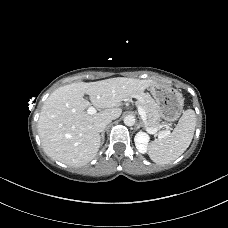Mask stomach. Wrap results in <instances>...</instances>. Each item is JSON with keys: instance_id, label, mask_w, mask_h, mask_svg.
Returning <instances> with one entry per match:
<instances>
[{"instance_id": "1", "label": "stomach", "mask_w": 228, "mask_h": 228, "mask_svg": "<svg viewBox=\"0 0 228 228\" xmlns=\"http://www.w3.org/2000/svg\"><path fill=\"white\" fill-rule=\"evenodd\" d=\"M149 95L156 106V109L165 121H176L183 110L184 98L182 94L172 87L154 84L148 87Z\"/></svg>"}]
</instances>
